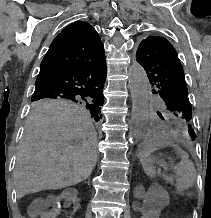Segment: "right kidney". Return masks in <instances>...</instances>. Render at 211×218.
I'll use <instances>...</instances> for the list:
<instances>
[{
	"instance_id": "right-kidney-1",
	"label": "right kidney",
	"mask_w": 211,
	"mask_h": 218,
	"mask_svg": "<svg viewBox=\"0 0 211 218\" xmlns=\"http://www.w3.org/2000/svg\"><path fill=\"white\" fill-rule=\"evenodd\" d=\"M77 194L78 192L75 188H68L63 193H57V197H47V202H50L51 205V218L68 217V209H63V206H66V202H75Z\"/></svg>"
}]
</instances>
